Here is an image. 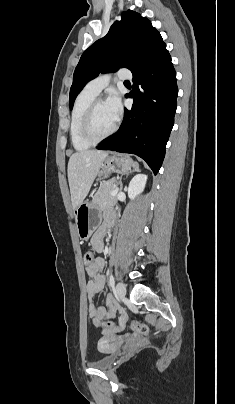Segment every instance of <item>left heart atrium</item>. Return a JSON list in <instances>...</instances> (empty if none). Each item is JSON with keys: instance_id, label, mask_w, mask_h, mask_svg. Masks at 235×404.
<instances>
[{"instance_id": "1", "label": "left heart atrium", "mask_w": 235, "mask_h": 404, "mask_svg": "<svg viewBox=\"0 0 235 404\" xmlns=\"http://www.w3.org/2000/svg\"><path fill=\"white\" fill-rule=\"evenodd\" d=\"M105 105L112 117L117 120L122 113V104L120 97L116 93L111 94L107 98Z\"/></svg>"}]
</instances>
